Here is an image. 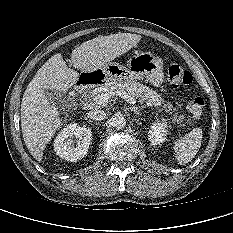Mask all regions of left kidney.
Segmentation results:
<instances>
[{"label":"left kidney","instance_id":"obj_1","mask_svg":"<svg viewBox=\"0 0 233 233\" xmlns=\"http://www.w3.org/2000/svg\"><path fill=\"white\" fill-rule=\"evenodd\" d=\"M168 125L166 122H154L148 132V137L153 145H162L166 140Z\"/></svg>","mask_w":233,"mask_h":233}]
</instances>
